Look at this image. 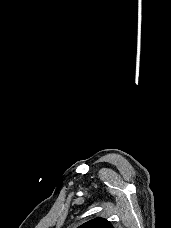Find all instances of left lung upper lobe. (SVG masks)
<instances>
[{"label":"left lung upper lobe","instance_id":"5c2ea615","mask_svg":"<svg viewBox=\"0 0 171 228\" xmlns=\"http://www.w3.org/2000/svg\"><path fill=\"white\" fill-rule=\"evenodd\" d=\"M79 228H113V226L106 219L98 217L84 223Z\"/></svg>","mask_w":171,"mask_h":228}]
</instances>
